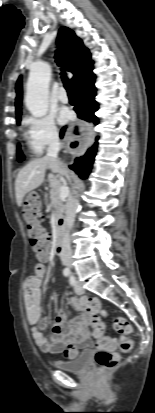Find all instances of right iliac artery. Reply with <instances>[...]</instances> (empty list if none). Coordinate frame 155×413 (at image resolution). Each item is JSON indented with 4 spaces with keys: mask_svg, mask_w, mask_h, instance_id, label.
Segmentation results:
<instances>
[{
    "mask_svg": "<svg viewBox=\"0 0 155 413\" xmlns=\"http://www.w3.org/2000/svg\"><path fill=\"white\" fill-rule=\"evenodd\" d=\"M63 274H64V276H69L70 271H69L68 269H65V270L63 271Z\"/></svg>",
    "mask_w": 155,
    "mask_h": 413,
    "instance_id": "1",
    "label": "right iliac artery"
}]
</instances>
